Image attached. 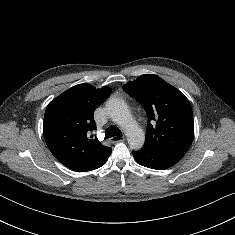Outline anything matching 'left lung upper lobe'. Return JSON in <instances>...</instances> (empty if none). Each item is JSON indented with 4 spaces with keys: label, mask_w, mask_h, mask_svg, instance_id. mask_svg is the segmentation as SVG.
Masks as SVG:
<instances>
[{
    "label": "left lung upper lobe",
    "mask_w": 235,
    "mask_h": 235,
    "mask_svg": "<svg viewBox=\"0 0 235 235\" xmlns=\"http://www.w3.org/2000/svg\"><path fill=\"white\" fill-rule=\"evenodd\" d=\"M148 115L145 147L185 155L194 137L190 102L178 89L153 74L123 86Z\"/></svg>",
    "instance_id": "5c2ea615"
}]
</instances>
